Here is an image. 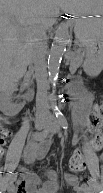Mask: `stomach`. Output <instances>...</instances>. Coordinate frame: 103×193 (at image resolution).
<instances>
[{"label": "stomach", "instance_id": "obj_1", "mask_svg": "<svg viewBox=\"0 0 103 193\" xmlns=\"http://www.w3.org/2000/svg\"><path fill=\"white\" fill-rule=\"evenodd\" d=\"M72 14L75 16L92 17L84 20L86 26L79 25L76 28L77 34L81 37L84 45H87V51L92 49V39L85 33L91 30L90 23L101 18L103 11V0H72ZM100 17V18H99Z\"/></svg>", "mask_w": 103, "mask_h": 193}]
</instances>
